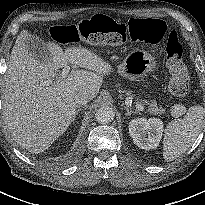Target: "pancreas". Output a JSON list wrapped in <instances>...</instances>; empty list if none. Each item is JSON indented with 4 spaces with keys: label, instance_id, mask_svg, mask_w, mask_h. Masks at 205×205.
Segmentation results:
<instances>
[{
    "label": "pancreas",
    "instance_id": "cf45deb5",
    "mask_svg": "<svg viewBox=\"0 0 205 205\" xmlns=\"http://www.w3.org/2000/svg\"><path fill=\"white\" fill-rule=\"evenodd\" d=\"M148 111L155 115H161L164 114L166 110L163 109L161 105H157L155 101H151V103L148 104Z\"/></svg>",
    "mask_w": 205,
    "mask_h": 205
}]
</instances>
